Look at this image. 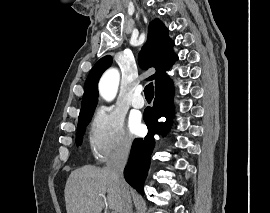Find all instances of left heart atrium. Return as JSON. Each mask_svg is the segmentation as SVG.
I'll use <instances>...</instances> for the list:
<instances>
[{
  "mask_svg": "<svg viewBox=\"0 0 270 213\" xmlns=\"http://www.w3.org/2000/svg\"><path fill=\"white\" fill-rule=\"evenodd\" d=\"M129 132L131 135H138L142 131V125L139 118L132 116L129 119Z\"/></svg>",
  "mask_w": 270,
  "mask_h": 213,
  "instance_id": "1",
  "label": "left heart atrium"
}]
</instances>
